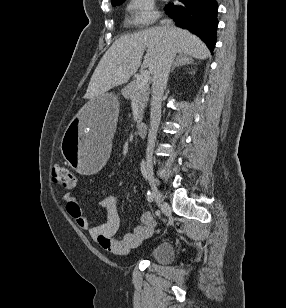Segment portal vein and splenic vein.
Here are the masks:
<instances>
[{
  "instance_id": "18ae733b",
  "label": "portal vein and splenic vein",
  "mask_w": 286,
  "mask_h": 308,
  "mask_svg": "<svg viewBox=\"0 0 286 308\" xmlns=\"http://www.w3.org/2000/svg\"><path fill=\"white\" fill-rule=\"evenodd\" d=\"M149 78H150V72L148 70H143L140 76L137 78V86L139 88L143 87L148 83Z\"/></svg>"
}]
</instances>
